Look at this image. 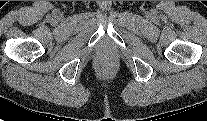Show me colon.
Returning a JSON list of instances; mask_svg holds the SVG:
<instances>
[{
    "label": "colon",
    "mask_w": 207,
    "mask_h": 121,
    "mask_svg": "<svg viewBox=\"0 0 207 121\" xmlns=\"http://www.w3.org/2000/svg\"><path fill=\"white\" fill-rule=\"evenodd\" d=\"M114 59L110 54H103L98 60V65L103 69H109L113 66Z\"/></svg>",
    "instance_id": "obj_1"
}]
</instances>
